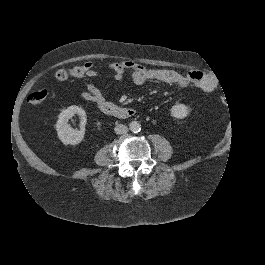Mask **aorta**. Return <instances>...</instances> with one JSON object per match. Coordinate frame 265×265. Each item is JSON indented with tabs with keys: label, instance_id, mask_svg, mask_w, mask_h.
<instances>
[{
	"label": "aorta",
	"instance_id": "762f6f07",
	"mask_svg": "<svg viewBox=\"0 0 265 265\" xmlns=\"http://www.w3.org/2000/svg\"><path fill=\"white\" fill-rule=\"evenodd\" d=\"M129 129L133 132V133H137L141 130V125L138 121H131L129 123Z\"/></svg>",
	"mask_w": 265,
	"mask_h": 265
}]
</instances>
